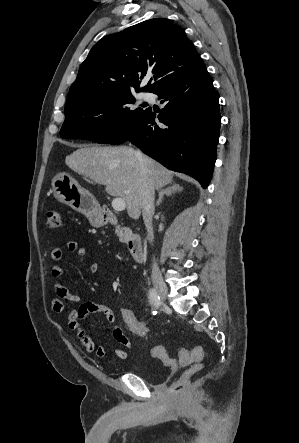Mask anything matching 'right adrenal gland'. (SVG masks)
<instances>
[{"mask_svg": "<svg viewBox=\"0 0 299 443\" xmlns=\"http://www.w3.org/2000/svg\"><path fill=\"white\" fill-rule=\"evenodd\" d=\"M183 190L182 187H180L178 184L173 183L171 186L161 190L159 192L158 200L156 202V206H159L164 199V196H171L172 194H175L177 192H181Z\"/></svg>", "mask_w": 299, "mask_h": 443, "instance_id": "1", "label": "right adrenal gland"}]
</instances>
